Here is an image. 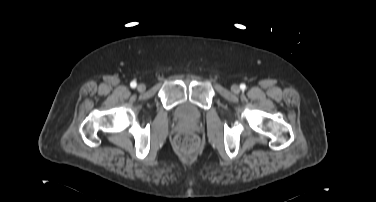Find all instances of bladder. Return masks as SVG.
<instances>
[{"label": "bladder", "instance_id": "obj_1", "mask_svg": "<svg viewBox=\"0 0 376 202\" xmlns=\"http://www.w3.org/2000/svg\"><path fill=\"white\" fill-rule=\"evenodd\" d=\"M177 116L185 121H196L201 117L200 111L193 104L185 102L178 106Z\"/></svg>", "mask_w": 376, "mask_h": 202}]
</instances>
